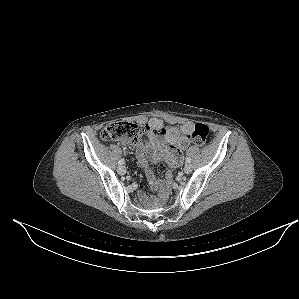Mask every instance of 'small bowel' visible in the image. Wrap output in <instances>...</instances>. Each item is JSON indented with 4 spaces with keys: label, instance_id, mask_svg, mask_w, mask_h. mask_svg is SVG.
Instances as JSON below:
<instances>
[{
    "label": "small bowel",
    "instance_id": "obj_1",
    "mask_svg": "<svg viewBox=\"0 0 299 299\" xmlns=\"http://www.w3.org/2000/svg\"><path fill=\"white\" fill-rule=\"evenodd\" d=\"M194 124L190 121L167 128L160 118H151L147 126V139L136 145L139 165L145 171L150 187L153 190L163 185L148 168L147 160L164 161L169 167L177 168L182 164V151L190 145L189 134L193 131ZM130 145L128 141H122Z\"/></svg>",
    "mask_w": 299,
    "mask_h": 299
}]
</instances>
